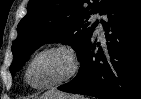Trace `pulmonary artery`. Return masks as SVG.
I'll return each instance as SVG.
<instances>
[{
  "label": "pulmonary artery",
  "instance_id": "1",
  "mask_svg": "<svg viewBox=\"0 0 141 99\" xmlns=\"http://www.w3.org/2000/svg\"><path fill=\"white\" fill-rule=\"evenodd\" d=\"M92 20L93 21H96V23H97V27H96L97 33H99L100 35H102L103 34V26H102V23H101V16L99 14L94 15L92 17Z\"/></svg>",
  "mask_w": 141,
  "mask_h": 99
}]
</instances>
